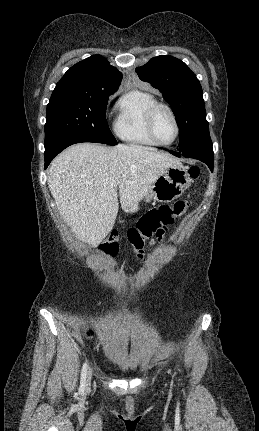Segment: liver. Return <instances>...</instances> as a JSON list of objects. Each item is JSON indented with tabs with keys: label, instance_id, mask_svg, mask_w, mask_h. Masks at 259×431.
Listing matches in <instances>:
<instances>
[{
	"label": "liver",
	"instance_id": "obj_1",
	"mask_svg": "<svg viewBox=\"0 0 259 431\" xmlns=\"http://www.w3.org/2000/svg\"><path fill=\"white\" fill-rule=\"evenodd\" d=\"M178 164L175 157L141 145L80 143L52 161L48 186L76 237L96 247L115 224L117 189L122 209L134 211L164 171Z\"/></svg>",
	"mask_w": 259,
	"mask_h": 431
}]
</instances>
